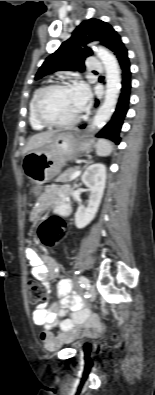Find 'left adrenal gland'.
Wrapping results in <instances>:
<instances>
[{"label": "left adrenal gland", "instance_id": "1", "mask_svg": "<svg viewBox=\"0 0 155 395\" xmlns=\"http://www.w3.org/2000/svg\"><path fill=\"white\" fill-rule=\"evenodd\" d=\"M93 161L91 160V157H89V161L86 162V165L83 167V169H85L89 164H91ZM81 176V174L79 175ZM78 181V178L75 180V183ZM74 183V184H75Z\"/></svg>", "mask_w": 155, "mask_h": 395}]
</instances>
